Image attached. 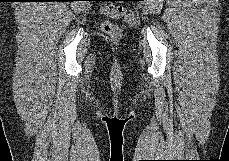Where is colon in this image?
<instances>
[{"label":"colon","mask_w":229,"mask_h":161,"mask_svg":"<svg viewBox=\"0 0 229 161\" xmlns=\"http://www.w3.org/2000/svg\"><path fill=\"white\" fill-rule=\"evenodd\" d=\"M101 10L107 17H115L125 14V8L122 5L103 4ZM101 29L111 37H118L121 33L119 26L108 19L102 21Z\"/></svg>","instance_id":"obj_1"}]
</instances>
